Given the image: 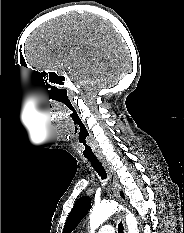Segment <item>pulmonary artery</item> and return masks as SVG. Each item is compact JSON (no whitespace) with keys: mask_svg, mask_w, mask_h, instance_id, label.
Returning <instances> with one entry per match:
<instances>
[{"mask_svg":"<svg viewBox=\"0 0 184 233\" xmlns=\"http://www.w3.org/2000/svg\"><path fill=\"white\" fill-rule=\"evenodd\" d=\"M97 233H115V229L112 225L106 224V225L101 226L98 229Z\"/></svg>","mask_w":184,"mask_h":233,"instance_id":"obj_1","label":"pulmonary artery"}]
</instances>
